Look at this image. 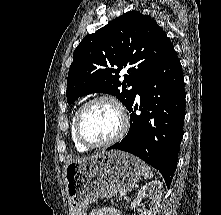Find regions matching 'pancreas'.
Listing matches in <instances>:
<instances>
[{"label": "pancreas", "mask_w": 221, "mask_h": 215, "mask_svg": "<svg viewBox=\"0 0 221 215\" xmlns=\"http://www.w3.org/2000/svg\"><path fill=\"white\" fill-rule=\"evenodd\" d=\"M122 197H115L114 200H111L112 205H116L117 207L121 206Z\"/></svg>", "instance_id": "pancreas-1"}]
</instances>
